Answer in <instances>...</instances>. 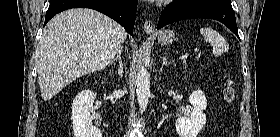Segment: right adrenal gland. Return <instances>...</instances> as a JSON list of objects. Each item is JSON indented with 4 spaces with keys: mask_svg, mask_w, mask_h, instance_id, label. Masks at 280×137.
Returning a JSON list of instances; mask_svg holds the SVG:
<instances>
[{
    "mask_svg": "<svg viewBox=\"0 0 280 137\" xmlns=\"http://www.w3.org/2000/svg\"><path fill=\"white\" fill-rule=\"evenodd\" d=\"M122 48L119 49L117 56L113 59V62L116 63L118 61V75L121 76L123 73V63H122Z\"/></svg>",
    "mask_w": 280,
    "mask_h": 137,
    "instance_id": "2a0ac1e0",
    "label": "right adrenal gland"
}]
</instances>
